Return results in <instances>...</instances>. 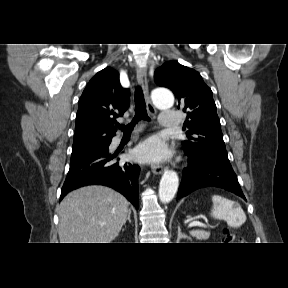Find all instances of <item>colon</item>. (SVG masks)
<instances>
[{
	"label": "colon",
	"mask_w": 288,
	"mask_h": 288,
	"mask_svg": "<svg viewBox=\"0 0 288 288\" xmlns=\"http://www.w3.org/2000/svg\"><path fill=\"white\" fill-rule=\"evenodd\" d=\"M224 234H225V238H226L227 241H232L233 240V236L229 233L228 230H225Z\"/></svg>",
	"instance_id": "1"
}]
</instances>
